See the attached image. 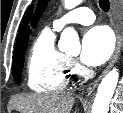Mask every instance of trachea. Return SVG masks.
<instances>
[{
    "mask_svg": "<svg viewBox=\"0 0 123 113\" xmlns=\"http://www.w3.org/2000/svg\"><path fill=\"white\" fill-rule=\"evenodd\" d=\"M99 6L104 11H109L110 3L109 0H99Z\"/></svg>",
    "mask_w": 123,
    "mask_h": 113,
    "instance_id": "1",
    "label": "trachea"
}]
</instances>
